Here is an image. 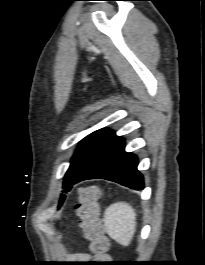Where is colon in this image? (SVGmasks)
Wrapping results in <instances>:
<instances>
[{
    "label": "colon",
    "instance_id": "5ec220e1",
    "mask_svg": "<svg viewBox=\"0 0 205 265\" xmlns=\"http://www.w3.org/2000/svg\"><path fill=\"white\" fill-rule=\"evenodd\" d=\"M99 189L95 186L84 187L80 191L77 215L85 238L90 242L94 263H105L108 259L109 240L104 235L99 217Z\"/></svg>",
    "mask_w": 205,
    "mask_h": 265
}]
</instances>
